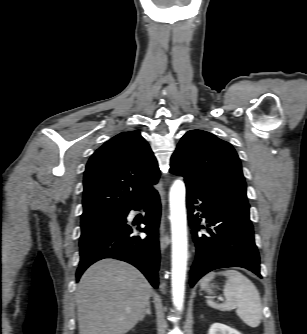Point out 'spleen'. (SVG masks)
<instances>
[{
	"mask_svg": "<svg viewBox=\"0 0 307 334\" xmlns=\"http://www.w3.org/2000/svg\"><path fill=\"white\" fill-rule=\"evenodd\" d=\"M216 275L226 277L224 285L225 304H218L213 297H207V304L221 311H230L236 308L240 319L250 327H258L262 319V306L259 292L255 285L242 273L236 270L211 272L201 280V288H206Z\"/></svg>",
	"mask_w": 307,
	"mask_h": 334,
	"instance_id": "3e777b00",
	"label": "spleen"
}]
</instances>
